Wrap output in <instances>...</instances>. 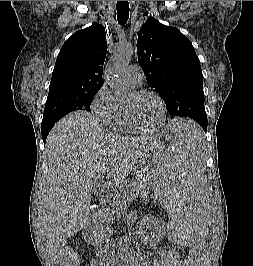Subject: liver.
<instances>
[{
    "instance_id": "obj_1",
    "label": "liver",
    "mask_w": 253,
    "mask_h": 266,
    "mask_svg": "<svg viewBox=\"0 0 253 266\" xmlns=\"http://www.w3.org/2000/svg\"><path fill=\"white\" fill-rule=\"evenodd\" d=\"M159 137H122L105 130L85 111L59 120L46 141L48 172L43 184L39 227L50 258L57 262L67 239L93 220L95 180L111 177L120 189Z\"/></svg>"
}]
</instances>
